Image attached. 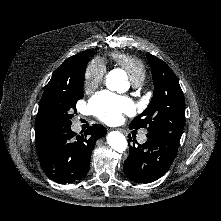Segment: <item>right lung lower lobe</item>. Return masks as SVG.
I'll list each match as a JSON object with an SVG mask.
<instances>
[{
  "instance_id": "1",
  "label": "right lung lower lobe",
  "mask_w": 221,
  "mask_h": 221,
  "mask_svg": "<svg viewBox=\"0 0 221 221\" xmlns=\"http://www.w3.org/2000/svg\"><path fill=\"white\" fill-rule=\"evenodd\" d=\"M106 132L99 124H93L81 136L70 126L53 132L43 154L38 157L43 171L60 184L82 179L89 171L96 141Z\"/></svg>"
}]
</instances>
